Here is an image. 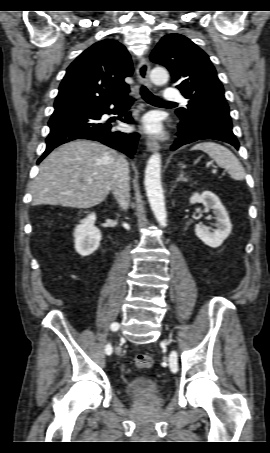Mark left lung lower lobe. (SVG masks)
Instances as JSON below:
<instances>
[{"mask_svg":"<svg viewBox=\"0 0 270 453\" xmlns=\"http://www.w3.org/2000/svg\"><path fill=\"white\" fill-rule=\"evenodd\" d=\"M177 133L179 139L172 145L171 150H176L182 145L204 139H217L233 145L239 149V142L233 132L209 122L202 114L196 113L192 118L181 120Z\"/></svg>","mask_w":270,"mask_h":453,"instance_id":"0a47b994","label":"left lung lower lobe"}]
</instances>
